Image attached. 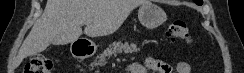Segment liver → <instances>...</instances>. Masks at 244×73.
<instances>
[{
	"label": "liver",
	"instance_id": "liver-1",
	"mask_svg": "<svg viewBox=\"0 0 244 73\" xmlns=\"http://www.w3.org/2000/svg\"><path fill=\"white\" fill-rule=\"evenodd\" d=\"M145 0H47L42 16L24 40L17 56V64L28 56L44 51L50 44L64 45L82 35L106 36L117 31L131 11Z\"/></svg>",
	"mask_w": 244,
	"mask_h": 73
}]
</instances>
